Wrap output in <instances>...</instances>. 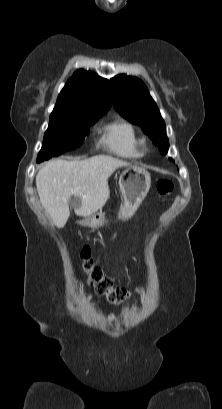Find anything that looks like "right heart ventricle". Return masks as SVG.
Masks as SVG:
<instances>
[{
    "label": "right heart ventricle",
    "mask_w": 222,
    "mask_h": 409,
    "mask_svg": "<svg viewBox=\"0 0 222 409\" xmlns=\"http://www.w3.org/2000/svg\"><path fill=\"white\" fill-rule=\"evenodd\" d=\"M103 143L115 154L136 159L144 154V140L130 122L117 119L104 128Z\"/></svg>",
    "instance_id": "right-heart-ventricle-1"
}]
</instances>
